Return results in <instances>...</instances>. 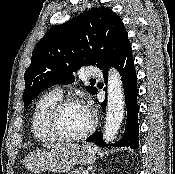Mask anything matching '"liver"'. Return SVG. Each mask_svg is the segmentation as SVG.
<instances>
[{
	"mask_svg": "<svg viewBox=\"0 0 175 174\" xmlns=\"http://www.w3.org/2000/svg\"><path fill=\"white\" fill-rule=\"evenodd\" d=\"M76 146H77V145H75V144L66 143V144L47 145V148H51V149H54V148L73 149V148H75Z\"/></svg>",
	"mask_w": 175,
	"mask_h": 174,
	"instance_id": "liver-1",
	"label": "liver"
}]
</instances>
